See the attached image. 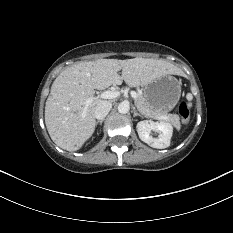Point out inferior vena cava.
<instances>
[{"label": "inferior vena cava", "mask_w": 233, "mask_h": 233, "mask_svg": "<svg viewBox=\"0 0 233 233\" xmlns=\"http://www.w3.org/2000/svg\"><path fill=\"white\" fill-rule=\"evenodd\" d=\"M112 104L109 101H100L94 111L95 118L98 120H103L107 114L110 112Z\"/></svg>", "instance_id": "obj_1"}]
</instances>
